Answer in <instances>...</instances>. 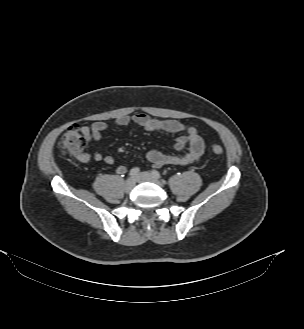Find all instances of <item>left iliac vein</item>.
I'll use <instances>...</instances> for the list:
<instances>
[{"label":"left iliac vein","instance_id":"4c4485c4","mask_svg":"<svg viewBox=\"0 0 304 329\" xmlns=\"http://www.w3.org/2000/svg\"><path fill=\"white\" fill-rule=\"evenodd\" d=\"M136 180L138 182L148 181V182H153V183L158 184V185H162L161 182L157 178H155L152 175V173H149V172H141V173H139L136 176Z\"/></svg>","mask_w":304,"mask_h":329}]
</instances>
